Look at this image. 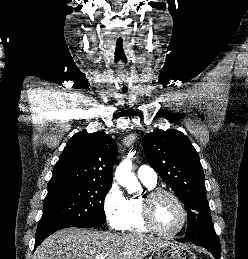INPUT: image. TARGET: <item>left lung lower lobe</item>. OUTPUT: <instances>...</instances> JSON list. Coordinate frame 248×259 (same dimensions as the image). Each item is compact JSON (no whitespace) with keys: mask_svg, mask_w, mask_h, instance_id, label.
<instances>
[{"mask_svg":"<svg viewBox=\"0 0 248 259\" xmlns=\"http://www.w3.org/2000/svg\"><path fill=\"white\" fill-rule=\"evenodd\" d=\"M180 242H192L201 245L210 251L215 259H220V241L214 232H204L193 236H186V238L179 239Z\"/></svg>","mask_w":248,"mask_h":259,"instance_id":"left-lung-lower-lobe-1","label":"left lung lower lobe"}]
</instances>
